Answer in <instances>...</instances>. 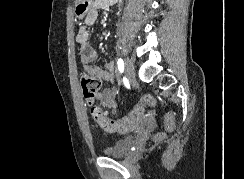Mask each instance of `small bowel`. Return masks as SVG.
<instances>
[{
  "label": "small bowel",
  "instance_id": "obj_1",
  "mask_svg": "<svg viewBox=\"0 0 244 179\" xmlns=\"http://www.w3.org/2000/svg\"><path fill=\"white\" fill-rule=\"evenodd\" d=\"M112 5L115 9V13L117 18L119 19L122 13L121 4L119 2H111L108 0H93L90 3L89 13L87 18H79L81 20V25L77 34V42L79 44L80 50V62L82 64V68L85 72L94 74L98 76L101 80L107 82H113L115 79V63L114 61H107L103 68L93 65V62L97 59V52L89 43L90 39V28L96 22L98 18L99 11ZM79 8V7H76ZM116 90L113 87H108L102 90L97 99L100 104L108 109L116 108L115 101ZM129 116H141V114H130ZM139 123V121H138ZM138 125V124H137ZM147 126L151 125L150 121L146 122ZM131 127L133 130L136 126H125Z\"/></svg>",
  "mask_w": 244,
  "mask_h": 179
}]
</instances>
